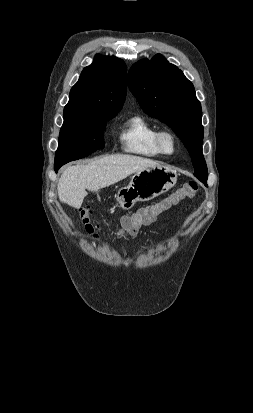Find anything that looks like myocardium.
<instances>
[{"instance_id": "f54148a6", "label": "myocardium", "mask_w": 253, "mask_h": 413, "mask_svg": "<svg viewBox=\"0 0 253 413\" xmlns=\"http://www.w3.org/2000/svg\"><path fill=\"white\" fill-rule=\"evenodd\" d=\"M166 138H169L172 142V149L171 151H167L164 146V141ZM156 145L158 150L160 151L161 154L164 155H172L176 152L177 146H178V139L175 135V133L169 129H161L157 131L156 137H155Z\"/></svg>"}]
</instances>
